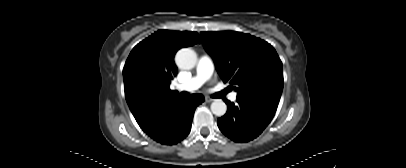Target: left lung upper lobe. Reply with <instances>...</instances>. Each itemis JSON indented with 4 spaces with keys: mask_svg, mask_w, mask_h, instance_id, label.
Masks as SVG:
<instances>
[{
    "mask_svg": "<svg viewBox=\"0 0 406 168\" xmlns=\"http://www.w3.org/2000/svg\"><path fill=\"white\" fill-rule=\"evenodd\" d=\"M201 36L218 74L234 86L237 98L278 106L284 84L282 62L269 43L235 31L201 32Z\"/></svg>",
    "mask_w": 406,
    "mask_h": 168,
    "instance_id": "1",
    "label": "left lung upper lobe"
}]
</instances>
